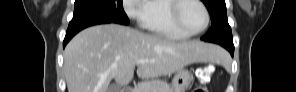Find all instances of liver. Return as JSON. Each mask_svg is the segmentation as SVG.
<instances>
[{"label":"liver","instance_id":"obj_1","mask_svg":"<svg viewBox=\"0 0 296 92\" xmlns=\"http://www.w3.org/2000/svg\"><path fill=\"white\" fill-rule=\"evenodd\" d=\"M222 51L200 41L176 42L127 26L106 24L78 33L64 51L68 92H107L111 79L126 86L134 76L153 79L196 62H217ZM147 59L145 64H137Z\"/></svg>","mask_w":296,"mask_h":92}]
</instances>
